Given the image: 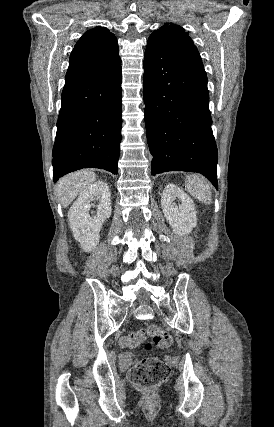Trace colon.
Instances as JSON below:
<instances>
[{"label":"colon","mask_w":274,"mask_h":427,"mask_svg":"<svg viewBox=\"0 0 274 427\" xmlns=\"http://www.w3.org/2000/svg\"><path fill=\"white\" fill-rule=\"evenodd\" d=\"M172 337L168 332L155 325L124 334L120 338L123 348H134L143 345L146 351L154 347L167 349L172 345ZM170 376L168 364L157 357H143L129 370V379L137 389H147L161 386ZM153 391L152 389L150 390Z\"/></svg>","instance_id":"5ec220e1"}]
</instances>
